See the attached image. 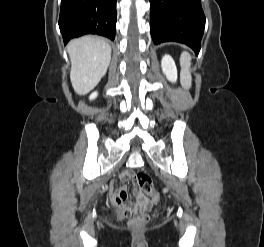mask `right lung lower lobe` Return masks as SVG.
<instances>
[{
    "label": "right lung lower lobe",
    "mask_w": 264,
    "mask_h": 247,
    "mask_svg": "<svg viewBox=\"0 0 264 247\" xmlns=\"http://www.w3.org/2000/svg\"><path fill=\"white\" fill-rule=\"evenodd\" d=\"M117 0H61L59 27L64 44L85 34L114 40Z\"/></svg>",
    "instance_id": "98d812e1"
}]
</instances>
